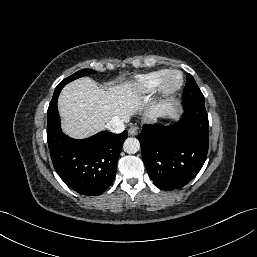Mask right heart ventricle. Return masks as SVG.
<instances>
[{"instance_id": "right-heart-ventricle-1", "label": "right heart ventricle", "mask_w": 257, "mask_h": 257, "mask_svg": "<svg viewBox=\"0 0 257 257\" xmlns=\"http://www.w3.org/2000/svg\"><path fill=\"white\" fill-rule=\"evenodd\" d=\"M168 70L162 69L139 75L131 85L132 92L137 96L150 94L158 89L162 78Z\"/></svg>"}]
</instances>
